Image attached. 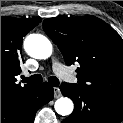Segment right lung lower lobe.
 <instances>
[{
	"label": "right lung lower lobe",
	"mask_w": 123,
	"mask_h": 123,
	"mask_svg": "<svg viewBox=\"0 0 123 123\" xmlns=\"http://www.w3.org/2000/svg\"><path fill=\"white\" fill-rule=\"evenodd\" d=\"M53 99V88L46 82L24 97L1 104V123H33L37 110Z\"/></svg>",
	"instance_id": "98d812e1"
}]
</instances>
